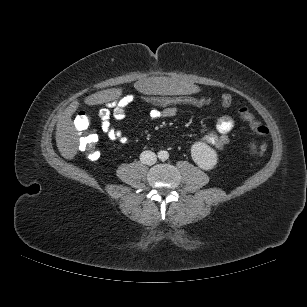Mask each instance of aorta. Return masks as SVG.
Here are the masks:
<instances>
[{
	"label": "aorta",
	"instance_id": "762f6f07",
	"mask_svg": "<svg viewBox=\"0 0 307 307\" xmlns=\"http://www.w3.org/2000/svg\"><path fill=\"white\" fill-rule=\"evenodd\" d=\"M158 158L161 161H165L169 158V153L165 150H161V151L158 152Z\"/></svg>",
	"mask_w": 307,
	"mask_h": 307
}]
</instances>
